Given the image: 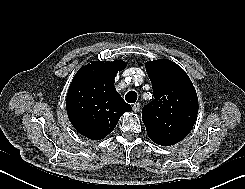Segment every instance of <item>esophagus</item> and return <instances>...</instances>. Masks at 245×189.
<instances>
[{
  "label": "esophagus",
  "instance_id": "esophagus-1",
  "mask_svg": "<svg viewBox=\"0 0 245 189\" xmlns=\"http://www.w3.org/2000/svg\"><path fill=\"white\" fill-rule=\"evenodd\" d=\"M132 109H133V111L135 113L139 112V110H140V104L139 103L133 104Z\"/></svg>",
  "mask_w": 245,
  "mask_h": 189
}]
</instances>
